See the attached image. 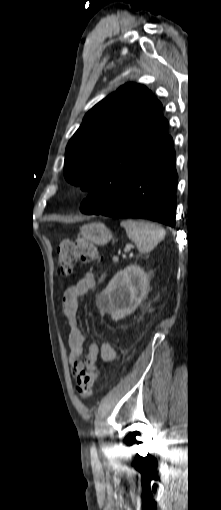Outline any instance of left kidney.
<instances>
[{
    "instance_id": "1",
    "label": "left kidney",
    "mask_w": 221,
    "mask_h": 510,
    "mask_svg": "<svg viewBox=\"0 0 221 510\" xmlns=\"http://www.w3.org/2000/svg\"><path fill=\"white\" fill-rule=\"evenodd\" d=\"M150 275L137 265H129L117 272L96 299L101 313H108L118 321L132 314L148 292Z\"/></svg>"
}]
</instances>
